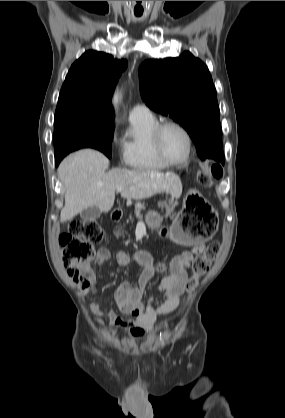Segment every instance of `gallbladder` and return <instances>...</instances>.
<instances>
[{"mask_svg":"<svg viewBox=\"0 0 285 418\" xmlns=\"http://www.w3.org/2000/svg\"><path fill=\"white\" fill-rule=\"evenodd\" d=\"M101 215V210L97 206H91L80 213L81 219L84 221H92L98 219Z\"/></svg>","mask_w":285,"mask_h":418,"instance_id":"1","label":"gallbladder"}]
</instances>
